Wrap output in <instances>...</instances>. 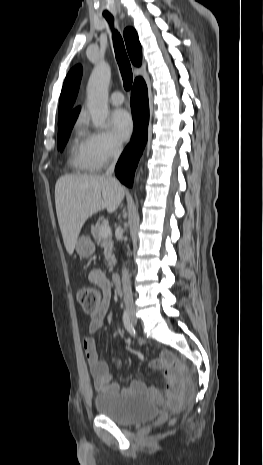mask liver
Listing matches in <instances>:
<instances>
[{
    "instance_id": "6515ba94",
    "label": "liver",
    "mask_w": 263,
    "mask_h": 465,
    "mask_svg": "<svg viewBox=\"0 0 263 465\" xmlns=\"http://www.w3.org/2000/svg\"><path fill=\"white\" fill-rule=\"evenodd\" d=\"M124 198V189L99 175H64L55 185V205L65 248L72 255L88 218L107 209L113 213Z\"/></svg>"
}]
</instances>
